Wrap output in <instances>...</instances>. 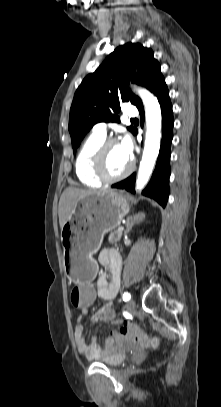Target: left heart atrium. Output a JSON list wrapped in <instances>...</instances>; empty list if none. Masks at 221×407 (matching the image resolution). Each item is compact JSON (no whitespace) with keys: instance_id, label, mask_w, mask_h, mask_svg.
I'll list each match as a JSON object with an SVG mask.
<instances>
[{"instance_id":"obj_1","label":"left heart atrium","mask_w":221,"mask_h":407,"mask_svg":"<svg viewBox=\"0 0 221 407\" xmlns=\"http://www.w3.org/2000/svg\"><path fill=\"white\" fill-rule=\"evenodd\" d=\"M120 145H121L123 152L130 158L132 155V150H133V146H132V142H131L130 138L125 137L121 141Z\"/></svg>"}]
</instances>
